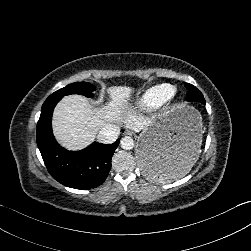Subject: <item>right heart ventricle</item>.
Returning a JSON list of instances; mask_svg holds the SVG:
<instances>
[{
  "label": "right heart ventricle",
  "instance_id": "e07e8e85",
  "mask_svg": "<svg viewBox=\"0 0 251 251\" xmlns=\"http://www.w3.org/2000/svg\"><path fill=\"white\" fill-rule=\"evenodd\" d=\"M175 86L161 83L145 89L137 100V107L145 111H153L164 104L167 97L173 92Z\"/></svg>",
  "mask_w": 251,
  "mask_h": 251
}]
</instances>
